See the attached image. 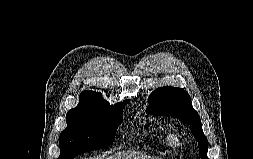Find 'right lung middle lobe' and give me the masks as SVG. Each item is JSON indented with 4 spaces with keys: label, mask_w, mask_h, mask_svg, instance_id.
Instances as JSON below:
<instances>
[{
    "label": "right lung middle lobe",
    "mask_w": 253,
    "mask_h": 159,
    "mask_svg": "<svg viewBox=\"0 0 253 159\" xmlns=\"http://www.w3.org/2000/svg\"><path fill=\"white\" fill-rule=\"evenodd\" d=\"M129 100L114 106L107 104H78L66 115L67 128L59 137L58 159H73L86 151L97 150L113 143L123 120V108Z\"/></svg>",
    "instance_id": "obj_1"
}]
</instances>
